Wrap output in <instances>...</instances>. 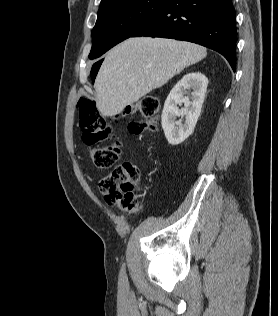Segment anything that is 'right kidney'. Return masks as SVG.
Wrapping results in <instances>:
<instances>
[{"label":"right kidney","instance_id":"1","mask_svg":"<svg viewBox=\"0 0 278 316\" xmlns=\"http://www.w3.org/2000/svg\"><path fill=\"white\" fill-rule=\"evenodd\" d=\"M208 85L207 77L201 72H191L170 91L162 111V128L169 144L178 145L187 139L193 132L201 112L202 104ZM191 92V101L187 94ZM184 103L185 107L179 110L178 104ZM185 115V122L176 118Z\"/></svg>","mask_w":278,"mask_h":316}]
</instances>
